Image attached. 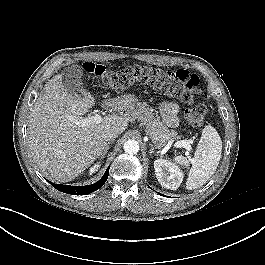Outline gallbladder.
I'll return each instance as SVG.
<instances>
[{"label":"gallbladder","instance_id":"1","mask_svg":"<svg viewBox=\"0 0 265 265\" xmlns=\"http://www.w3.org/2000/svg\"><path fill=\"white\" fill-rule=\"evenodd\" d=\"M83 70L80 66H71L67 68L62 75L63 85L69 93L81 95L84 91L81 80Z\"/></svg>","mask_w":265,"mask_h":265}]
</instances>
